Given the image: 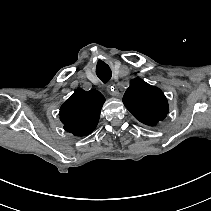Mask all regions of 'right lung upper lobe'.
I'll return each instance as SVG.
<instances>
[{"label":"right lung upper lobe","instance_id":"cb5924a9","mask_svg":"<svg viewBox=\"0 0 211 211\" xmlns=\"http://www.w3.org/2000/svg\"><path fill=\"white\" fill-rule=\"evenodd\" d=\"M104 96L97 90L78 88L60 108L64 129L75 136L90 134L97 126Z\"/></svg>","mask_w":211,"mask_h":211}]
</instances>
